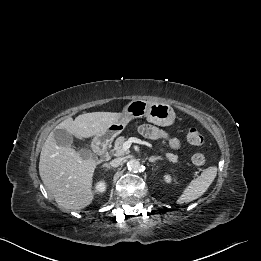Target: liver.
Instances as JSON below:
<instances>
[{"instance_id": "liver-1", "label": "liver", "mask_w": 261, "mask_h": 261, "mask_svg": "<svg viewBox=\"0 0 261 261\" xmlns=\"http://www.w3.org/2000/svg\"><path fill=\"white\" fill-rule=\"evenodd\" d=\"M122 113L92 112L73 120L65 119L55 129H65L77 139L99 137L117 122ZM100 161L83 159L73 147L59 146L53 131L48 135L40 154L39 173L55 201L66 209H83L94 199L93 174Z\"/></svg>"}]
</instances>
